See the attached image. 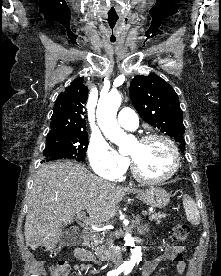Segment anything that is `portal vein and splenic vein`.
I'll return each mask as SVG.
<instances>
[{
    "mask_svg": "<svg viewBox=\"0 0 221 276\" xmlns=\"http://www.w3.org/2000/svg\"><path fill=\"white\" fill-rule=\"evenodd\" d=\"M141 214H142L143 216H146V215H147V211L143 210V211L141 212ZM77 217H78V219H80L83 223H85V224H87V225H92V226L94 225V222H93L91 219H89L88 217H86L85 212L78 213Z\"/></svg>",
    "mask_w": 221,
    "mask_h": 276,
    "instance_id": "obj_1",
    "label": "portal vein and splenic vein"
}]
</instances>
